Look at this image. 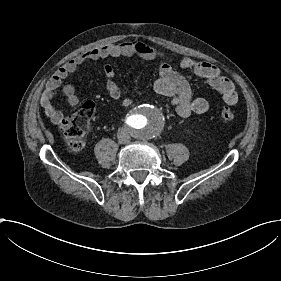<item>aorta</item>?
<instances>
[{"mask_svg": "<svg viewBox=\"0 0 281 281\" xmlns=\"http://www.w3.org/2000/svg\"><path fill=\"white\" fill-rule=\"evenodd\" d=\"M127 124L135 137L152 138L162 131L165 125V116L154 105L140 104L135 106L127 117Z\"/></svg>", "mask_w": 281, "mask_h": 281, "instance_id": "aorta-1", "label": "aorta"}]
</instances>
